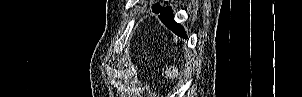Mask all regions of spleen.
<instances>
[{
	"mask_svg": "<svg viewBox=\"0 0 302 97\" xmlns=\"http://www.w3.org/2000/svg\"><path fill=\"white\" fill-rule=\"evenodd\" d=\"M171 68H173V69L171 70ZM171 68H167V69H166V71H165V75H166V76H165V77H166V78L169 77V79H175V78H177L178 75H179L178 69L175 68L174 66L171 67ZM162 75H164V73H163Z\"/></svg>",
	"mask_w": 302,
	"mask_h": 97,
	"instance_id": "3e777b00",
	"label": "spleen"
}]
</instances>
